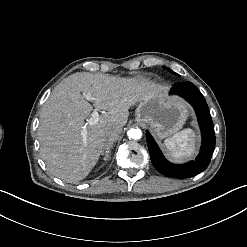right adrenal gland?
<instances>
[{"mask_svg":"<svg viewBox=\"0 0 247 247\" xmlns=\"http://www.w3.org/2000/svg\"><path fill=\"white\" fill-rule=\"evenodd\" d=\"M113 144H114V141H107V143L104 146H102V148L100 150V153L102 155L103 152H104V150L106 149L107 155L104 158L105 161H108L109 158L111 157V151H110V149L113 147Z\"/></svg>","mask_w":247,"mask_h":247,"instance_id":"1","label":"right adrenal gland"}]
</instances>
